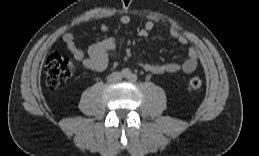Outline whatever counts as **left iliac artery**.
Wrapping results in <instances>:
<instances>
[{
  "mask_svg": "<svg viewBox=\"0 0 259 156\" xmlns=\"http://www.w3.org/2000/svg\"><path fill=\"white\" fill-rule=\"evenodd\" d=\"M129 80H131L132 82H135L137 80V75L136 74H130L129 75Z\"/></svg>",
  "mask_w": 259,
  "mask_h": 156,
  "instance_id": "1",
  "label": "left iliac artery"
}]
</instances>
